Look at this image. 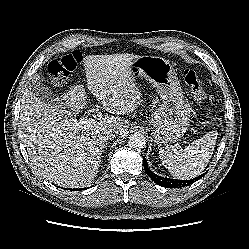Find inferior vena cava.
Returning <instances> with one entry per match:
<instances>
[{
    "label": "inferior vena cava",
    "mask_w": 249,
    "mask_h": 249,
    "mask_svg": "<svg viewBox=\"0 0 249 249\" xmlns=\"http://www.w3.org/2000/svg\"><path fill=\"white\" fill-rule=\"evenodd\" d=\"M117 134H118V130L115 128H110V129L103 131L104 138L107 140L115 137Z\"/></svg>",
    "instance_id": "1"
}]
</instances>
